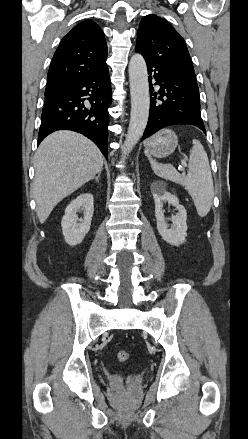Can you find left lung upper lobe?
Returning <instances> with one entry per match:
<instances>
[{"label": "left lung upper lobe", "mask_w": 248, "mask_h": 439, "mask_svg": "<svg viewBox=\"0 0 248 439\" xmlns=\"http://www.w3.org/2000/svg\"><path fill=\"white\" fill-rule=\"evenodd\" d=\"M135 50L150 61L196 80L184 39L165 19L150 14L141 20Z\"/></svg>", "instance_id": "obj_1"}]
</instances>
